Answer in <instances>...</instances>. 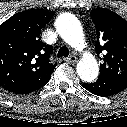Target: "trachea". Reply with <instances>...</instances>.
<instances>
[{
    "mask_svg": "<svg viewBox=\"0 0 127 127\" xmlns=\"http://www.w3.org/2000/svg\"><path fill=\"white\" fill-rule=\"evenodd\" d=\"M69 50L67 47L63 46L58 50L57 56L58 57H68Z\"/></svg>",
    "mask_w": 127,
    "mask_h": 127,
    "instance_id": "obj_1",
    "label": "trachea"
}]
</instances>
